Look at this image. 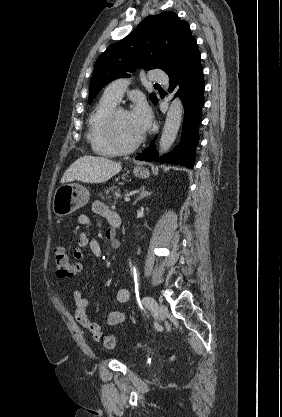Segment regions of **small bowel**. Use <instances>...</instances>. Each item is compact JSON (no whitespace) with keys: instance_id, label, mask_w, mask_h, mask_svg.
Returning a JSON list of instances; mask_svg holds the SVG:
<instances>
[{"instance_id":"1","label":"small bowel","mask_w":282,"mask_h":417,"mask_svg":"<svg viewBox=\"0 0 282 417\" xmlns=\"http://www.w3.org/2000/svg\"><path fill=\"white\" fill-rule=\"evenodd\" d=\"M92 210L95 214L104 217L107 221L108 228L106 235L111 239L114 244L117 243L116 236L121 226V218L117 212L110 209L106 204L101 201H95L92 204ZM79 225L88 229H92L93 223L89 215L80 214L77 217ZM89 250L90 253L96 259H102L104 256V250L100 242L91 237L88 233H82L78 238V246L73 250V257L76 262L73 264L75 272H81L83 270V261L85 260V251ZM73 299L75 302V319L76 321L91 335L92 338L97 340H104V332L101 326L93 321L87 314L88 300L84 296L81 290H75L73 292ZM130 299V290L127 287H120L116 291V301L118 303H127ZM126 319V314L123 311H111L106 318V324L108 326H117L122 324Z\"/></svg>"}]
</instances>
